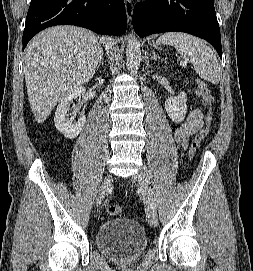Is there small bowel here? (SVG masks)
Listing matches in <instances>:
<instances>
[{"mask_svg": "<svg viewBox=\"0 0 253 271\" xmlns=\"http://www.w3.org/2000/svg\"><path fill=\"white\" fill-rule=\"evenodd\" d=\"M204 125L203 112L200 109H193L188 114L187 119L174 131V139L183 148H186L189 139L198 132Z\"/></svg>", "mask_w": 253, "mask_h": 271, "instance_id": "obj_1", "label": "small bowel"}]
</instances>
